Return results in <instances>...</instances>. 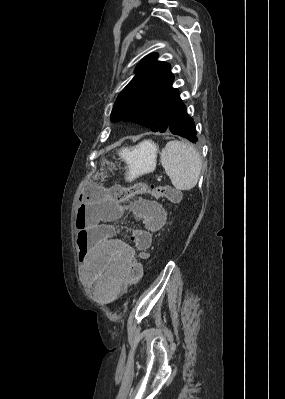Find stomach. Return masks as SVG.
I'll return each mask as SVG.
<instances>
[{"mask_svg":"<svg viewBox=\"0 0 285 399\" xmlns=\"http://www.w3.org/2000/svg\"><path fill=\"white\" fill-rule=\"evenodd\" d=\"M128 166V178L134 179L142 174L152 172L156 167L157 148L151 141H144L132 148L120 152Z\"/></svg>","mask_w":285,"mask_h":399,"instance_id":"stomach-1","label":"stomach"}]
</instances>
